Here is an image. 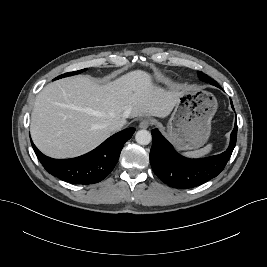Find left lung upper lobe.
<instances>
[{"instance_id": "left-lung-upper-lobe-1", "label": "left lung upper lobe", "mask_w": 267, "mask_h": 267, "mask_svg": "<svg viewBox=\"0 0 267 267\" xmlns=\"http://www.w3.org/2000/svg\"><path fill=\"white\" fill-rule=\"evenodd\" d=\"M199 78L201 80H203L206 83H210L214 86H216V84H218L216 81H214L213 79H211L209 76H207L206 74L202 73L201 71L198 72Z\"/></svg>"}]
</instances>
